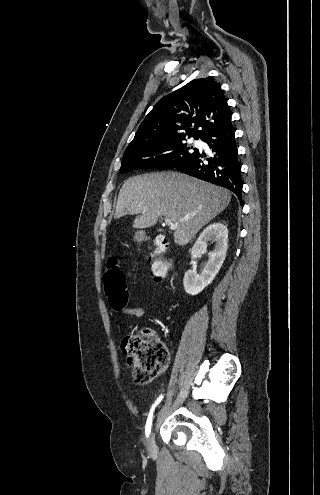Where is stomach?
I'll return each instance as SVG.
<instances>
[{"mask_svg": "<svg viewBox=\"0 0 320 495\" xmlns=\"http://www.w3.org/2000/svg\"><path fill=\"white\" fill-rule=\"evenodd\" d=\"M137 240H140V238L138 236L135 237Z\"/></svg>", "mask_w": 320, "mask_h": 495, "instance_id": "1", "label": "stomach"}]
</instances>
